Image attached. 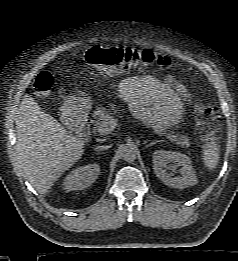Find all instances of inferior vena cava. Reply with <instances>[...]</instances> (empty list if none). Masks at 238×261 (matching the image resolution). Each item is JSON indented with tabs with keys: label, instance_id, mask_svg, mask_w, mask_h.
I'll return each mask as SVG.
<instances>
[{
	"label": "inferior vena cava",
	"instance_id": "obj_1",
	"mask_svg": "<svg viewBox=\"0 0 238 261\" xmlns=\"http://www.w3.org/2000/svg\"><path fill=\"white\" fill-rule=\"evenodd\" d=\"M110 146H104V145H100V146H96L95 150L96 151H100V150H106L108 149Z\"/></svg>",
	"mask_w": 238,
	"mask_h": 261
}]
</instances>
